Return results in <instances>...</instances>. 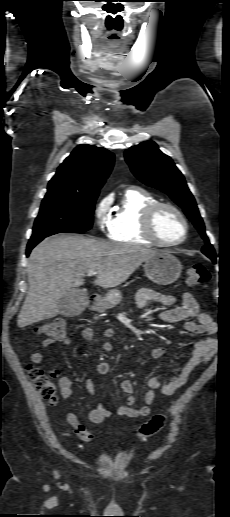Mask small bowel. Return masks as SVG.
<instances>
[{
	"instance_id": "1",
	"label": "small bowel",
	"mask_w": 230,
	"mask_h": 517,
	"mask_svg": "<svg viewBox=\"0 0 230 517\" xmlns=\"http://www.w3.org/2000/svg\"><path fill=\"white\" fill-rule=\"evenodd\" d=\"M137 305L140 308H144L150 302H157L163 306H172L176 302V297L172 294H160L150 289H142L137 293L136 296ZM181 305L172 307L160 313L159 319L165 323H176L184 321V328L186 331L192 334H204L206 338L197 341L194 344L192 356L181 366L170 367L167 369V373L170 375L168 381L163 382L158 377L150 378L148 385L149 390L143 396V405L135 407L136 397L134 395V387L130 380H122L120 382L121 390L127 394L126 401L123 405L117 408L116 413L120 416H126L130 418L146 417L150 414V404L155 398V393L159 391L162 395L170 396L173 395L179 388H181L188 380L192 372L199 366L206 364L211 361L217 351V341L215 335L218 331L217 324L211 319V317L202 312L199 305L191 293H184L181 296ZM193 318L196 321L192 320ZM81 335L85 340H93L95 332L91 327H84L81 331ZM106 337H113L114 331L108 329L103 333ZM54 343L53 339H46L42 342L40 349L35 350L30 361L32 363H41L44 359V351L49 349ZM69 344L70 340H66ZM99 347L107 352H111L115 349V346L111 342H102ZM165 352L162 347L154 348L150 351V356L154 359L161 357ZM96 371L104 379L110 371V367L106 362H98L96 364ZM61 388V395L64 399H68L73 395V382L66 376H61L58 380ZM86 388L90 394L95 393V385L91 380L85 382ZM111 414V411L107 410L104 405L100 402L96 403L88 413L90 422L94 424L102 423L106 417ZM66 421L72 427L73 432L79 439L84 442H90L93 440L94 435L88 430V428L82 424L77 415L73 412L66 413ZM61 434L68 438L70 434L66 431H62Z\"/></svg>"
}]
</instances>
